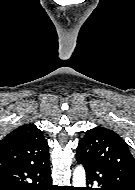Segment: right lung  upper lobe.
<instances>
[{
	"mask_svg": "<svg viewBox=\"0 0 135 190\" xmlns=\"http://www.w3.org/2000/svg\"><path fill=\"white\" fill-rule=\"evenodd\" d=\"M48 143L34 124H25L0 142V168L19 164H42L49 160Z\"/></svg>",
	"mask_w": 135,
	"mask_h": 190,
	"instance_id": "cb5924a9",
	"label": "right lung upper lobe"
}]
</instances>
